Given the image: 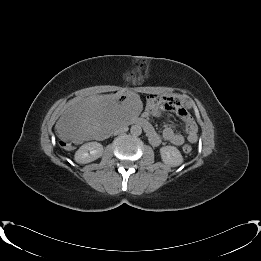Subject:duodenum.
<instances>
[{"label":"duodenum","mask_w":261,"mask_h":261,"mask_svg":"<svg viewBox=\"0 0 261 261\" xmlns=\"http://www.w3.org/2000/svg\"><path fill=\"white\" fill-rule=\"evenodd\" d=\"M135 123L142 126L148 135L153 131L152 125L145 118H137Z\"/></svg>","instance_id":"410a0bca"}]
</instances>
